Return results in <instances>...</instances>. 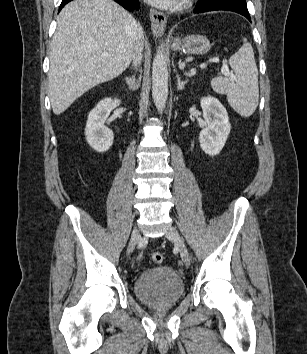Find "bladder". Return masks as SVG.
I'll return each mask as SVG.
<instances>
[{
	"mask_svg": "<svg viewBox=\"0 0 307 354\" xmlns=\"http://www.w3.org/2000/svg\"><path fill=\"white\" fill-rule=\"evenodd\" d=\"M184 292V281L169 266L148 268L142 271L134 281L135 295L151 307L171 306L181 299Z\"/></svg>",
	"mask_w": 307,
	"mask_h": 354,
	"instance_id": "obj_1",
	"label": "bladder"
}]
</instances>
